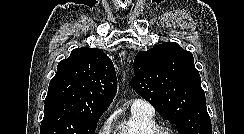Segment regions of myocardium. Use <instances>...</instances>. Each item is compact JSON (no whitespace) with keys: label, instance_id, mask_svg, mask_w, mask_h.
Wrapping results in <instances>:
<instances>
[{"label":"myocardium","instance_id":"myocardium-1","mask_svg":"<svg viewBox=\"0 0 244 134\" xmlns=\"http://www.w3.org/2000/svg\"><path fill=\"white\" fill-rule=\"evenodd\" d=\"M150 134H178L173 129L167 126H157L155 127Z\"/></svg>","mask_w":244,"mask_h":134}]
</instances>
